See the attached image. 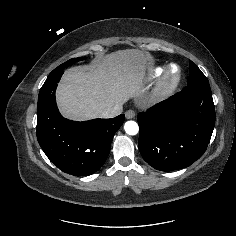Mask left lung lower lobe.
Listing matches in <instances>:
<instances>
[{
	"label": "left lung lower lobe",
	"mask_w": 236,
	"mask_h": 236,
	"mask_svg": "<svg viewBox=\"0 0 236 236\" xmlns=\"http://www.w3.org/2000/svg\"><path fill=\"white\" fill-rule=\"evenodd\" d=\"M139 150L160 171L190 166L206 151L215 125L209 82L187 85L181 92L137 116Z\"/></svg>",
	"instance_id": "0a47b994"
}]
</instances>
